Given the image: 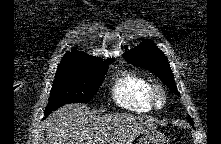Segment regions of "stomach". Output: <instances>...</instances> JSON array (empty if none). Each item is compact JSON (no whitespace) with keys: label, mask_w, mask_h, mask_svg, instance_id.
Wrapping results in <instances>:
<instances>
[{"label":"stomach","mask_w":221,"mask_h":144,"mask_svg":"<svg viewBox=\"0 0 221 144\" xmlns=\"http://www.w3.org/2000/svg\"><path fill=\"white\" fill-rule=\"evenodd\" d=\"M168 142L169 141L164 134L156 130H150L143 133L138 144H168Z\"/></svg>","instance_id":"1"}]
</instances>
